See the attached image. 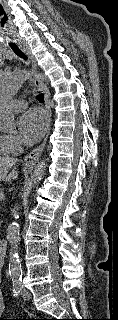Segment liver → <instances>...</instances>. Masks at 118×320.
I'll list each match as a JSON object with an SVG mask.
<instances>
[{
  "label": "liver",
  "instance_id": "1",
  "mask_svg": "<svg viewBox=\"0 0 118 320\" xmlns=\"http://www.w3.org/2000/svg\"><path fill=\"white\" fill-rule=\"evenodd\" d=\"M17 159L10 157H0V181L11 182L18 177V171L14 169L9 173L10 169L15 165Z\"/></svg>",
  "mask_w": 118,
  "mask_h": 320
}]
</instances>
